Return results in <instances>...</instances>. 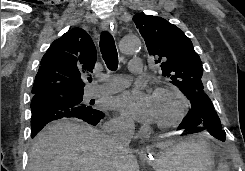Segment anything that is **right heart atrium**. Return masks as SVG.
Returning <instances> with one entry per match:
<instances>
[{
    "label": "right heart atrium",
    "mask_w": 245,
    "mask_h": 171,
    "mask_svg": "<svg viewBox=\"0 0 245 171\" xmlns=\"http://www.w3.org/2000/svg\"><path fill=\"white\" fill-rule=\"evenodd\" d=\"M112 126L115 129L124 130V131H128L132 128L131 122L121 116L114 118V120L112 121Z\"/></svg>",
    "instance_id": "1"
}]
</instances>
